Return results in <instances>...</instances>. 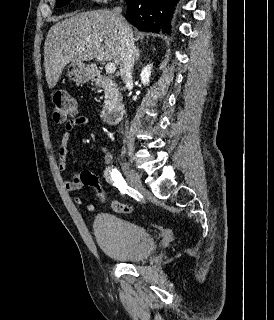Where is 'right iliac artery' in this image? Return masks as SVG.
<instances>
[{
    "mask_svg": "<svg viewBox=\"0 0 274 320\" xmlns=\"http://www.w3.org/2000/svg\"><path fill=\"white\" fill-rule=\"evenodd\" d=\"M111 179L114 185L119 189L121 193L123 194L127 193L128 195L135 198L136 200H140L142 198L141 194L138 191H136L133 188H130L126 184L124 178L122 177L121 173L118 170L113 169L111 171Z\"/></svg>",
    "mask_w": 274,
    "mask_h": 320,
    "instance_id": "1",
    "label": "right iliac artery"
}]
</instances>
